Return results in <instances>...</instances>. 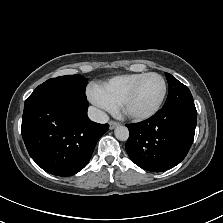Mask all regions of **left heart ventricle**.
I'll list each match as a JSON object with an SVG mask.
<instances>
[{
	"instance_id": "obj_1",
	"label": "left heart ventricle",
	"mask_w": 223,
	"mask_h": 223,
	"mask_svg": "<svg viewBox=\"0 0 223 223\" xmlns=\"http://www.w3.org/2000/svg\"><path fill=\"white\" fill-rule=\"evenodd\" d=\"M161 92L162 82L160 78L157 76L146 77L123 110L132 113H146L156 105Z\"/></svg>"
}]
</instances>
